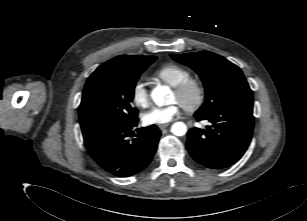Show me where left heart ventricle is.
I'll use <instances>...</instances> for the list:
<instances>
[{"instance_id":"obj_1","label":"left heart ventricle","mask_w":307,"mask_h":221,"mask_svg":"<svg viewBox=\"0 0 307 221\" xmlns=\"http://www.w3.org/2000/svg\"><path fill=\"white\" fill-rule=\"evenodd\" d=\"M171 100L172 101L176 100V101H179V102L181 101L180 97L174 91L172 92Z\"/></svg>"}]
</instances>
